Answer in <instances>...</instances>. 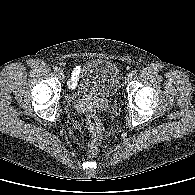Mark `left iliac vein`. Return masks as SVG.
<instances>
[{
  "instance_id": "obj_1",
  "label": "left iliac vein",
  "mask_w": 195,
  "mask_h": 195,
  "mask_svg": "<svg viewBox=\"0 0 195 195\" xmlns=\"http://www.w3.org/2000/svg\"><path fill=\"white\" fill-rule=\"evenodd\" d=\"M125 80H126L127 82H129V81L132 80V75H131V73H129V74L126 75Z\"/></svg>"
}]
</instances>
